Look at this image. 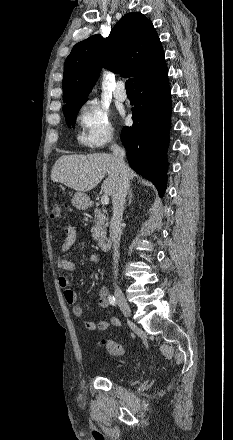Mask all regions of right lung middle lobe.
Returning a JSON list of instances; mask_svg holds the SVG:
<instances>
[{"label":"right lung middle lobe","instance_id":"obj_1","mask_svg":"<svg viewBox=\"0 0 233 440\" xmlns=\"http://www.w3.org/2000/svg\"><path fill=\"white\" fill-rule=\"evenodd\" d=\"M82 105H83V103H79L76 105H72V106H68V107L63 108V113L65 115V119H66V122L69 127H71V126L74 127L77 113Z\"/></svg>","mask_w":233,"mask_h":440}]
</instances>
